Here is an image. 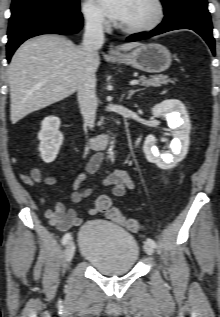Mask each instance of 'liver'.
Instances as JSON below:
<instances>
[{
	"mask_svg": "<svg viewBox=\"0 0 220 317\" xmlns=\"http://www.w3.org/2000/svg\"><path fill=\"white\" fill-rule=\"evenodd\" d=\"M139 42L121 45L129 51ZM85 64L82 46L58 35H41L23 43L14 53L9 68L10 119L17 123L26 115L61 101L78 89ZM100 65L95 55V71Z\"/></svg>",
	"mask_w": 220,
	"mask_h": 317,
	"instance_id": "6515ba94",
	"label": "liver"
}]
</instances>
